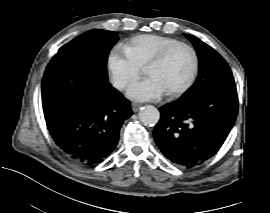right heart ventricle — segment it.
Listing matches in <instances>:
<instances>
[{"instance_id": "1", "label": "right heart ventricle", "mask_w": 270, "mask_h": 213, "mask_svg": "<svg viewBox=\"0 0 270 213\" xmlns=\"http://www.w3.org/2000/svg\"><path fill=\"white\" fill-rule=\"evenodd\" d=\"M179 43H181L179 40L171 37L155 34L140 35L126 47V54L133 62L148 66L160 52Z\"/></svg>"}]
</instances>
